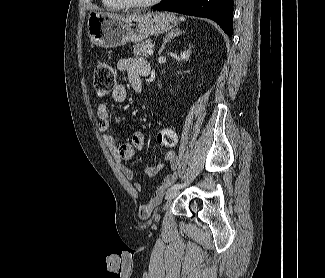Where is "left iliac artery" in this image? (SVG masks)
Returning a JSON list of instances; mask_svg holds the SVG:
<instances>
[{"label":"left iliac artery","instance_id":"44dca946","mask_svg":"<svg viewBox=\"0 0 325 278\" xmlns=\"http://www.w3.org/2000/svg\"><path fill=\"white\" fill-rule=\"evenodd\" d=\"M185 185H186V183H184V184H179V183H177V184H174V185L172 186V188L180 189V188H182V187L185 186Z\"/></svg>","mask_w":325,"mask_h":278}]
</instances>
